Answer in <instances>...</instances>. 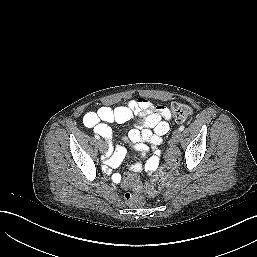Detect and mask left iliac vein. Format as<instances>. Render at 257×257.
<instances>
[{
    "instance_id": "obj_1",
    "label": "left iliac vein",
    "mask_w": 257,
    "mask_h": 257,
    "mask_svg": "<svg viewBox=\"0 0 257 257\" xmlns=\"http://www.w3.org/2000/svg\"><path fill=\"white\" fill-rule=\"evenodd\" d=\"M180 138H181V131L177 129L173 132L172 142L177 143L179 142Z\"/></svg>"
}]
</instances>
